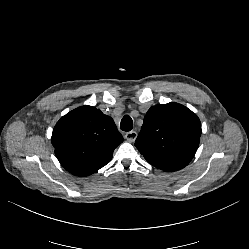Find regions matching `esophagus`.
<instances>
[{"label": "esophagus", "instance_id": "obj_1", "mask_svg": "<svg viewBox=\"0 0 249 249\" xmlns=\"http://www.w3.org/2000/svg\"><path fill=\"white\" fill-rule=\"evenodd\" d=\"M137 136L138 134L136 131H130L127 132L124 137L128 142L132 143L136 140Z\"/></svg>", "mask_w": 249, "mask_h": 249}]
</instances>
